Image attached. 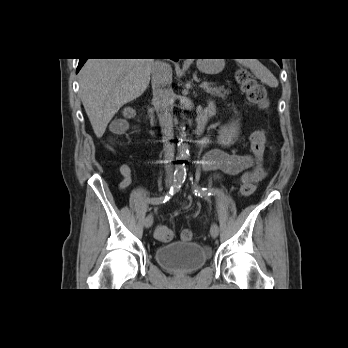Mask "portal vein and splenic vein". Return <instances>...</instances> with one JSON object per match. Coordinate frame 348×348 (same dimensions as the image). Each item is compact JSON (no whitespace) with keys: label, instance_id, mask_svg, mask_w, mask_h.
<instances>
[{"label":"portal vein and splenic vein","instance_id":"1","mask_svg":"<svg viewBox=\"0 0 348 348\" xmlns=\"http://www.w3.org/2000/svg\"><path fill=\"white\" fill-rule=\"evenodd\" d=\"M208 86H209V83H207V82H203L200 84V87H202V88H206Z\"/></svg>","mask_w":348,"mask_h":348}]
</instances>
